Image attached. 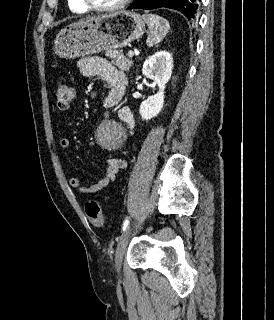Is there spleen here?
I'll return each mask as SVG.
<instances>
[{"mask_svg":"<svg viewBox=\"0 0 274 320\" xmlns=\"http://www.w3.org/2000/svg\"><path fill=\"white\" fill-rule=\"evenodd\" d=\"M142 18L149 28V36L148 40H146L147 46L159 44L169 30V22L165 18L156 16V14H143Z\"/></svg>","mask_w":274,"mask_h":320,"instance_id":"obj_1","label":"spleen"}]
</instances>
